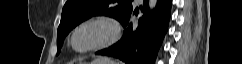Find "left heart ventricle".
I'll use <instances>...</instances> for the list:
<instances>
[{
    "label": "left heart ventricle",
    "mask_w": 242,
    "mask_h": 64,
    "mask_svg": "<svg viewBox=\"0 0 242 64\" xmlns=\"http://www.w3.org/2000/svg\"><path fill=\"white\" fill-rule=\"evenodd\" d=\"M106 34V29L99 26L88 27L82 30L75 38V45L78 48L86 47Z\"/></svg>",
    "instance_id": "b2bd125f"
}]
</instances>
